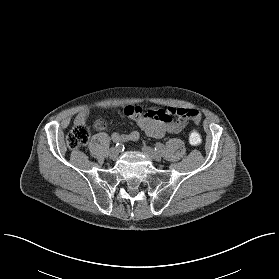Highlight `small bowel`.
<instances>
[{
  "label": "small bowel",
  "mask_w": 279,
  "mask_h": 279,
  "mask_svg": "<svg viewBox=\"0 0 279 279\" xmlns=\"http://www.w3.org/2000/svg\"><path fill=\"white\" fill-rule=\"evenodd\" d=\"M123 112L126 116L134 119L141 130L155 138H161L169 133H179L191 120L196 123L200 121L199 112L187 108L168 107L166 109L144 110L138 106H126ZM88 115V109L81 110L74 118V125H85ZM95 128L105 129L106 122L102 119L96 120ZM111 137L113 140L125 143L138 140L140 133L136 130L127 133L116 132Z\"/></svg>",
  "instance_id": "1"
}]
</instances>
